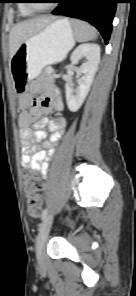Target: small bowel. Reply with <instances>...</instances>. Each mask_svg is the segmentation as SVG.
Masks as SVG:
<instances>
[{
  "instance_id": "1",
  "label": "small bowel",
  "mask_w": 136,
  "mask_h": 296,
  "mask_svg": "<svg viewBox=\"0 0 136 296\" xmlns=\"http://www.w3.org/2000/svg\"><path fill=\"white\" fill-rule=\"evenodd\" d=\"M19 104L22 110L18 118L23 143L22 165L45 177L49 171L54 148L66 128L65 118L57 114L62 110L63 103L57 89L50 88L43 94L42 98L31 99L29 95L21 96ZM49 112L54 113V115L50 118L41 117V115ZM47 135H49V139L44 143L46 149H43L37 143Z\"/></svg>"
}]
</instances>
